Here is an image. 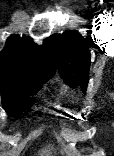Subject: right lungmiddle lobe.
Listing matches in <instances>:
<instances>
[{"mask_svg":"<svg viewBox=\"0 0 114 156\" xmlns=\"http://www.w3.org/2000/svg\"><path fill=\"white\" fill-rule=\"evenodd\" d=\"M50 76L27 77L21 80L0 79L2 105L9 116H16L30 108L34 100L30 97L37 93Z\"/></svg>","mask_w":114,"mask_h":156,"instance_id":"obj_1","label":"right lung middle lobe"}]
</instances>
